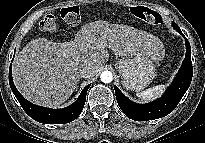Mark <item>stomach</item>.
Listing matches in <instances>:
<instances>
[{
    "instance_id": "1",
    "label": "stomach",
    "mask_w": 205,
    "mask_h": 143,
    "mask_svg": "<svg viewBox=\"0 0 205 143\" xmlns=\"http://www.w3.org/2000/svg\"><path fill=\"white\" fill-rule=\"evenodd\" d=\"M157 55H161V51H158ZM155 62L154 56L149 54H138L118 60L115 67L121 75L123 87L140 91L148 86L157 76Z\"/></svg>"
}]
</instances>
